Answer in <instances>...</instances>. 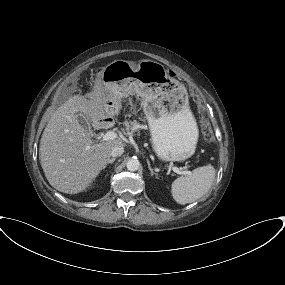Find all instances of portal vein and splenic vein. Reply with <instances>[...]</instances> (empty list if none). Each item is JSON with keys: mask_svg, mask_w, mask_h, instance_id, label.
Returning <instances> with one entry per match:
<instances>
[{"mask_svg": "<svg viewBox=\"0 0 285 285\" xmlns=\"http://www.w3.org/2000/svg\"><path fill=\"white\" fill-rule=\"evenodd\" d=\"M116 138H117V134L115 132L108 131L103 135L102 140L108 141V140H114ZM169 168L172 169L177 174H190V171H180L179 168L174 167V166H169Z\"/></svg>", "mask_w": 285, "mask_h": 285, "instance_id": "1", "label": "portal vein and splenic vein"}]
</instances>
